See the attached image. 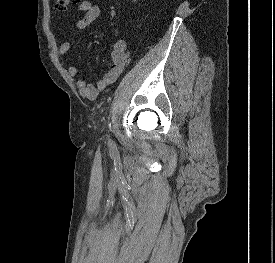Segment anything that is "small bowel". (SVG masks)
I'll return each mask as SVG.
<instances>
[{
	"label": "small bowel",
	"instance_id": "c3829d8e",
	"mask_svg": "<svg viewBox=\"0 0 275 263\" xmlns=\"http://www.w3.org/2000/svg\"><path fill=\"white\" fill-rule=\"evenodd\" d=\"M76 12L83 14L75 23L76 28L82 30L90 26L99 18L101 9L98 5L93 4L89 0H82L78 4ZM71 48V42L65 41L60 45L58 53L60 55L67 54ZM110 62V69L104 73L95 84H88L84 79L75 81L76 88L83 96L90 100H95L100 92L111 86L121 76L127 62V45L124 41L117 40L113 43V48L110 53ZM67 72L72 79L76 78L78 73L75 66H70Z\"/></svg>",
	"mask_w": 275,
	"mask_h": 263
}]
</instances>
